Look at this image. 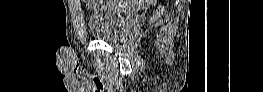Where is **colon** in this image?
<instances>
[{"label":"colon","mask_w":263,"mask_h":92,"mask_svg":"<svg viewBox=\"0 0 263 92\" xmlns=\"http://www.w3.org/2000/svg\"><path fill=\"white\" fill-rule=\"evenodd\" d=\"M104 2H105V1H100L99 5H104ZM109 2H113V1H109ZM114 2H115V1H114ZM145 2H155V1L147 0V1H145ZM162 11H163V7H160L159 10H158V12L160 13V12H162Z\"/></svg>","instance_id":"5ec220e1"}]
</instances>
